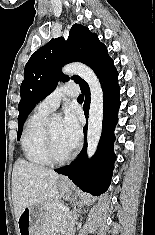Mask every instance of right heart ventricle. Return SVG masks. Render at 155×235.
Segmentation results:
<instances>
[{
	"label": "right heart ventricle",
	"mask_w": 155,
	"mask_h": 235,
	"mask_svg": "<svg viewBox=\"0 0 155 235\" xmlns=\"http://www.w3.org/2000/svg\"><path fill=\"white\" fill-rule=\"evenodd\" d=\"M48 112L37 108L27 119L21 138V147L25 159L34 165L49 163L44 152V134Z\"/></svg>",
	"instance_id": "1"
}]
</instances>
